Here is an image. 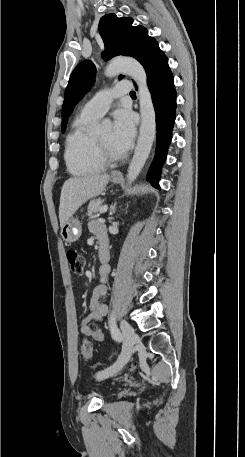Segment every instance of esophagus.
Here are the masks:
<instances>
[{"instance_id": "34e87169", "label": "esophagus", "mask_w": 245, "mask_h": 457, "mask_svg": "<svg viewBox=\"0 0 245 457\" xmlns=\"http://www.w3.org/2000/svg\"><path fill=\"white\" fill-rule=\"evenodd\" d=\"M113 177H123V174L119 171L112 172L111 174Z\"/></svg>"}]
</instances>
